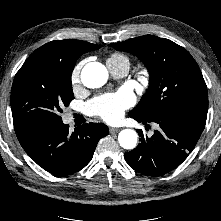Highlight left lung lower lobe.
Listing matches in <instances>:
<instances>
[{
    "label": "left lung lower lobe",
    "mask_w": 221,
    "mask_h": 221,
    "mask_svg": "<svg viewBox=\"0 0 221 221\" xmlns=\"http://www.w3.org/2000/svg\"><path fill=\"white\" fill-rule=\"evenodd\" d=\"M138 122H155L158 129L151 137H141L138 146L125 153L132 169L151 177H159L177 168L192 152L206 124V117L195 112H181L168 117L146 119L129 115Z\"/></svg>",
    "instance_id": "obj_1"
}]
</instances>
